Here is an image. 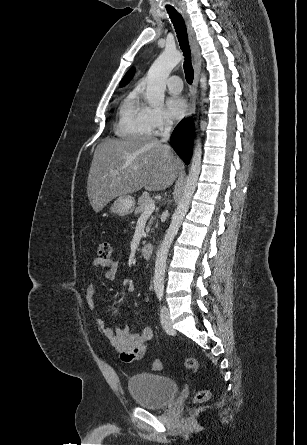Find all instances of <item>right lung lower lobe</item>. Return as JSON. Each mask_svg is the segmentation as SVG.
Segmentation results:
<instances>
[{"instance_id":"1","label":"right lung lower lobe","mask_w":307,"mask_h":445,"mask_svg":"<svg viewBox=\"0 0 307 445\" xmlns=\"http://www.w3.org/2000/svg\"><path fill=\"white\" fill-rule=\"evenodd\" d=\"M194 127L190 120H183L171 135V145L180 158L188 164L192 155Z\"/></svg>"}]
</instances>
